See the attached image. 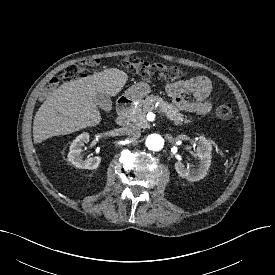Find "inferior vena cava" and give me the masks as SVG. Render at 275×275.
<instances>
[{
    "label": "inferior vena cava",
    "mask_w": 275,
    "mask_h": 275,
    "mask_svg": "<svg viewBox=\"0 0 275 275\" xmlns=\"http://www.w3.org/2000/svg\"><path fill=\"white\" fill-rule=\"evenodd\" d=\"M125 131V134L130 137V138H133V139H136L137 137L140 136V128L135 126V125H128L125 127L124 129Z\"/></svg>",
    "instance_id": "obj_1"
}]
</instances>
